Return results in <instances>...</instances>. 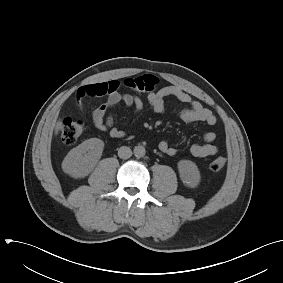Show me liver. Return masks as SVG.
Wrapping results in <instances>:
<instances>
[{"instance_id":"obj_1","label":"liver","mask_w":283,"mask_h":283,"mask_svg":"<svg viewBox=\"0 0 283 283\" xmlns=\"http://www.w3.org/2000/svg\"><path fill=\"white\" fill-rule=\"evenodd\" d=\"M61 125H62V122L58 121L57 124H56V127H55V134L56 135L58 134V131L60 130Z\"/></svg>"}]
</instances>
